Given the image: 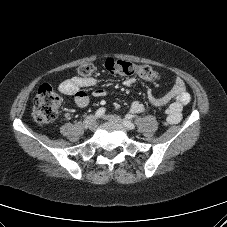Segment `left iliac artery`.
<instances>
[{
	"label": "left iliac artery",
	"instance_id": "left-iliac-artery-1",
	"mask_svg": "<svg viewBox=\"0 0 227 227\" xmlns=\"http://www.w3.org/2000/svg\"><path fill=\"white\" fill-rule=\"evenodd\" d=\"M124 123H125V125L129 128V129H134L135 128V125L131 122V121H129V120H124Z\"/></svg>",
	"mask_w": 227,
	"mask_h": 227
}]
</instances>
